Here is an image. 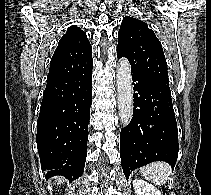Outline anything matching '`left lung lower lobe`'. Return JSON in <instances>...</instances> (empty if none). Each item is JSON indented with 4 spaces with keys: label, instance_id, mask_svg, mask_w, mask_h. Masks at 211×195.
Wrapping results in <instances>:
<instances>
[{
    "label": "left lung lower lobe",
    "instance_id": "obj_1",
    "mask_svg": "<svg viewBox=\"0 0 211 195\" xmlns=\"http://www.w3.org/2000/svg\"><path fill=\"white\" fill-rule=\"evenodd\" d=\"M131 72L133 118L120 134L121 164L127 179L134 169L154 161L174 167L179 150L171 92L145 74Z\"/></svg>",
    "mask_w": 211,
    "mask_h": 195
}]
</instances>
